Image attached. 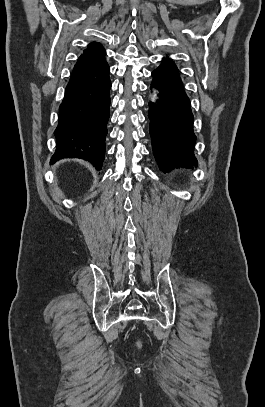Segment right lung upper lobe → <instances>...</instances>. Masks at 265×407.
<instances>
[{
	"instance_id": "1",
	"label": "right lung upper lobe",
	"mask_w": 265,
	"mask_h": 407,
	"mask_svg": "<svg viewBox=\"0 0 265 407\" xmlns=\"http://www.w3.org/2000/svg\"><path fill=\"white\" fill-rule=\"evenodd\" d=\"M103 52H105V49L100 43L92 42L80 57H93Z\"/></svg>"
}]
</instances>
